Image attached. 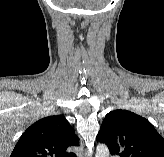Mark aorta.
I'll return each instance as SVG.
<instances>
[{"label": "aorta", "instance_id": "aorta-1", "mask_svg": "<svg viewBox=\"0 0 164 157\" xmlns=\"http://www.w3.org/2000/svg\"><path fill=\"white\" fill-rule=\"evenodd\" d=\"M96 157H109V149L105 144H98L96 148Z\"/></svg>", "mask_w": 164, "mask_h": 157}]
</instances>
